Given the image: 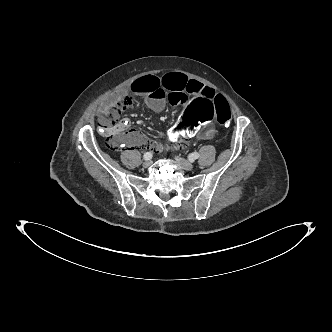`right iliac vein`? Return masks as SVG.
I'll return each mask as SVG.
<instances>
[{
    "label": "right iliac vein",
    "mask_w": 332,
    "mask_h": 332,
    "mask_svg": "<svg viewBox=\"0 0 332 332\" xmlns=\"http://www.w3.org/2000/svg\"><path fill=\"white\" fill-rule=\"evenodd\" d=\"M151 164H152L151 159H150V160H146V161H144V163H143V167L148 168V167L151 166Z\"/></svg>",
    "instance_id": "63e3f726"
}]
</instances>
